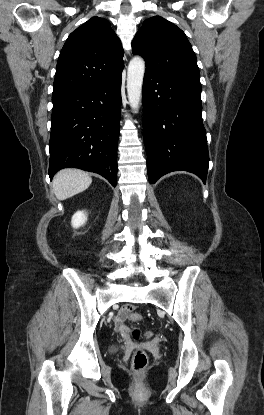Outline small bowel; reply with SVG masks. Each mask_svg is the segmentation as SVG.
I'll return each mask as SVG.
<instances>
[{
	"label": "small bowel",
	"mask_w": 264,
	"mask_h": 415,
	"mask_svg": "<svg viewBox=\"0 0 264 415\" xmlns=\"http://www.w3.org/2000/svg\"><path fill=\"white\" fill-rule=\"evenodd\" d=\"M127 315H128L127 308H123L118 312V314L114 318L115 328L121 333L125 332L124 322L127 318Z\"/></svg>",
	"instance_id": "1"
}]
</instances>
